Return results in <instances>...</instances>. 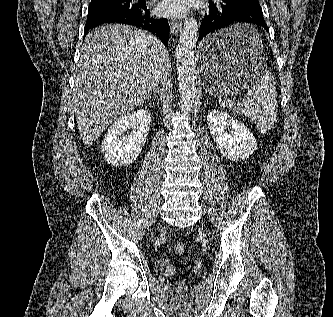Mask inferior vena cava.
Wrapping results in <instances>:
<instances>
[{
  "mask_svg": "<svg viewBox=\"0 0 333 317\" xmlns=\"http://www.w3.org/2000/svg\"><path fill=\"white\" fill-rule=\"evenodd\" d=\"M164 69H165V59L161 58L158 62V67H157V76H158V78L161 77L162 72L164 71Z\"/></svg>",
  "mask_w": 333,
  "mask_h": 317,
  "instance_id": "1",
  "label": "inferior vena cava"
}]
</instances>
